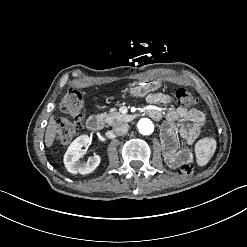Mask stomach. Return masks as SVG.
Instances as JSON below:
<instances>
[{"label": "stomach", "instance_id": "obj_1", "mask_svg": "<svg viewBox=\"0 0 247 247\" xmlns=\"http://www.w3.org/2000/svg\"><path fill=\"white\" fill-rule=\"evenodd\" d=\"M161 83L159 81L152 82H133L129 84V91L131 95L135 97H144L150 91L157 90L160 87Z\"/></svg>", "mask_w": 247, "mask_h": 247}]
</instances>
